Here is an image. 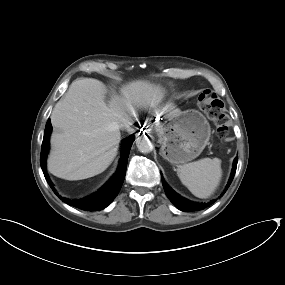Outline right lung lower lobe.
Returning <instances> with one entry per match:
<instances>
[{"label":"right lung lower lobe","instance_id":"obj_1","mask_svg":"<svg viewBox=\"0 0 285 285\" xmlns=\"http://www.w3.org/2000/svg\"><path fill=\"white\" fill-rule=\"evenodd\" d=\"M52 131V125L50 119L47 121L45 131H44V137H43V143L41 147V155H40V164L42 171L44 173L46 181L49 183L50 187L54 191L56 195L58 193L55 191L53 187V183L51 182L47 172H46V158L49 151V138ZM135 140V136L131 135L124 139L122 141L121 146V158L119 161V165L117 168V171L115 174L111 177V179L96 193H94L91 196H88L84 199L79 200H69L62 198L64 202H67V204L72 205L76 208H79L81 210L85 211H100L103 210L105 207L110 204L114 198L119 193L121 186L123 184L125 174H126V167H127V161L129 152L132 146V143ZM61 198V196H60Z\"/></svg>","mask_w":285,"mask_h":285}]
</instances>
